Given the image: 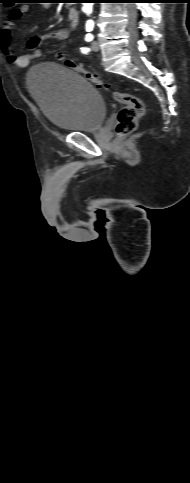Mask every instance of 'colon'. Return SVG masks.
<instances>
[{
	"mask_svg": "<svg viewBox=\"0 0 190 483\" xmlns=\"http://www.w3.org/2000/svg\"><path fill=\"white\" fill-rule=\"evenodd\" d=\"M64 65L80 74H82L91 84L98 88H106L105 85L94 73L85 69L81 64L74 60L59 56ZM114 100L123 104V108L119 111L115 131L118 136H126L136 130L140 117L144 114V104L139 97L133 94L111 91Z\"/></svg>",
	"mask_w": 190,
	"mask_h": 483,
	"instance_id": "obj_1",
	"label": "colon"
}]
</instances>
